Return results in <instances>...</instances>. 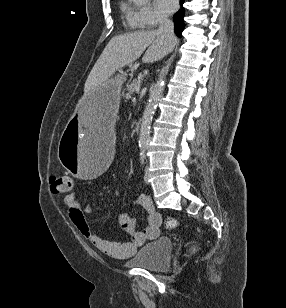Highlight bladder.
<instances>
[{"label": "bladder", "instance_id": "obj_1", "mask_svg": "<svg viewBox=\"0 0 286 308\" xmlns=\"http://www.w3.org/2000/svg\"><path fill=\"white\" fill-rule=\"evenodd\" d=\"M171 253V240L159 238L142 246L124 263L134 268H145L154 271L164 270L170 266Z\"/></svg>", "mask_w": 286, "mask_h": 308}]
</instances>
